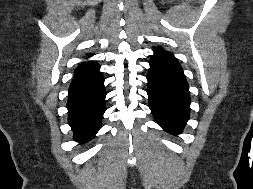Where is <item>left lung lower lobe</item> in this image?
<instances>
[{"mask_svg":"<svg viewBox=\"0 0 253 189\" xmlns=\"http://www.w3.org/2000/svg\"><path fill=\"white\" fill-rule=\"evenodd\" d=\"M147 80L149 108L157 124L168 133H181L191 102L181 66L164 59L150 60Z\"/></svg>","mask_w":253,"mask_h":189,"instance_id":"1","label":"left lung lower lobe"}]
</instances>
